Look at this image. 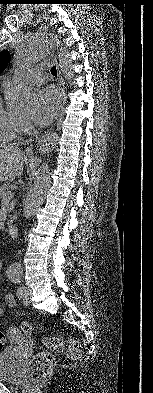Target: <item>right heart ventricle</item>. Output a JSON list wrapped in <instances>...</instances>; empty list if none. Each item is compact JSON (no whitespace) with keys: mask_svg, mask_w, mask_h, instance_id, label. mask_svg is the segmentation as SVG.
<instances>
[{"mask_svg":"<svg viewBox=\"0 0 153 393\" xmlns=\"http://www.w3.org/2000/svg\"><path fill=\"white\" fill-rule=\"evenodd\" d=\"M21 132L20 118L5 110L0 98V143L13 141Z\"/></svg>","mask_w":153,"mask_h":393,"instance_id":"1","label":"right heart ventricle"}]
</instances>
